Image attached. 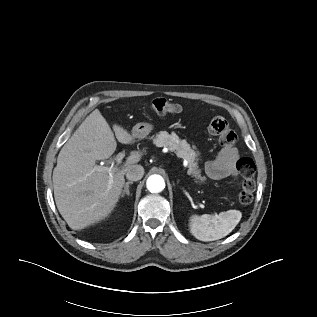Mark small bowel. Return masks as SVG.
<instances>
[{"label":"small bowel","instance_id":"obj_1","mask_svg":"<svg viewBox=\"0 0 317 317\" xmlns=\"http://www.w3.org/2000/svg\"><path fill=\"white\" fill-rule=\"evenodd\" d=\"M238 156L239 153L236 147L223 148L215 160L206 164V174L212 179L235 177L237 175L235 163Z\"/></svg>","mask_w":317,"mask_h":317}]
</instances>
